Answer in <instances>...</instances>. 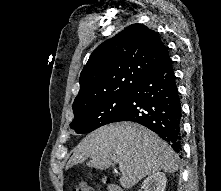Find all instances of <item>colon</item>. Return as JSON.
I'll use <instances>...</instances> for the list:
<instances>
[{
    "label": "colon",
    "mask_w": 221,
    "mask_h": 191,
    "mask_svg": "<svg viewBox=\"0 0 221 191\" xmlns=\"http://www.w3.org/2000/svg\"><path fill=\"white\" fill-rule=\"evenodd\" d=\"M71 191H93L85 182L80 181L72 184Z\"/></svg>",
    "instance_id": "1"
}]
</instances>
